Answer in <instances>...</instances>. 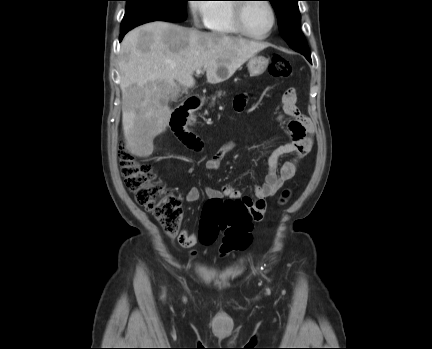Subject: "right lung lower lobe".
Here are the masks:
<instances>
[{
    "instance_id": "obj_1",
    "label": "right lung lower lobe",
    "mask_w": 432,
    "mask_h": 349,
    "mask_svg": "<svg viewBox=\"0 0 432 349\" xmlns=\"http://www.w3.org/2000/svg\"><path fill=\"white\" fill-rule=\"evenodd\" d=\"M128 31H129V30L121 31V35H120V38H119L120 41L123 39L124 35H125Z\"/></svg>"
}]
</instances>
